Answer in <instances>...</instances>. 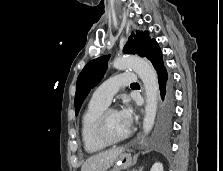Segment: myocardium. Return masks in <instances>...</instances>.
<instances>
[{
	"mask_svg": "<svg viewBox=\"0 0 223 171\" xmlns=\"http://www.w3.org/2000/svg\"><path fill=\"white\" fill-rule=\"evenodd\" d=\"M112 112H117L116 109L114 108H105L97 117L95 123H94V135L95 138L101 143L104 144L106 146H110V145H114V144H118L124 140H126L130 135H131V130L129 129L128 132L118 138V139H112L110 138L107 133H106V129H105V124H106V119L108 117V115Z\"/></svg>",
	"mask_w": 223,
	"mask_h": 171,
	"instance_id": "obj_1",
	"label": "myocardium"
}]
</instances>
